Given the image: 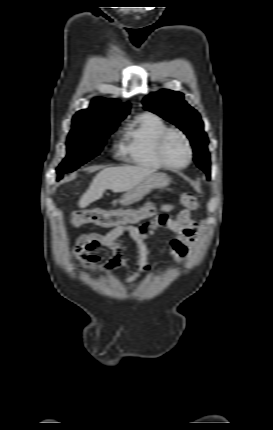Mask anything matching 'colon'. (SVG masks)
Wrapping results in <instances>:
<instances>
[{"mask_svg":"<svg viewBox=\"0 0 273 430\" xmlns=\"http://www.w3.org/2000/svg\"><path fill=\"white\" fill-rule=\"evenodd\" d=\"M181 203L186 208L183 211L196 210L199 207V201L193 193H183ZM155 214V207L148 203L137 209L128 210H105L101 208L86 209L76 214L71 223L74 227H80L85 224H97L104 227L115 225H128L150 218ZM77 255L80 257L81 252H88L87 247L78 245Z\"/></svg>","mask_w":273,"mask_h":430,"instance_id":"5ec220e1","label":"colon"}]
</instances>
